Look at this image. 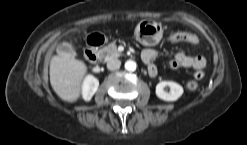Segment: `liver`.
Wrapping results in <instances>:
<instances>
[{
  "label": "liver",
  "instance_id": "obj_1",
  "mask_svg": "<svg viewBox=\"0 0 247 145\" xmlns=\"http://www.w3.org/2000/svg\"><path fill=\"white\" fill-rule=\"evenodd\" d=\"M87 73L86 64L66 55H54L50 60V83L64 101L76 102L81 93L82 81Z\"/></svg>",
  "mask_w": 247,
  "mask_h": 145
}]
</instances>
